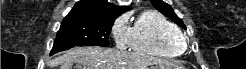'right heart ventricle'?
Masks as SVG:
<instances>
[{
  "instance_id": "right-heart-ventricle-1",
  "label": "right heart ventricle",
  "mask_w": 246,
  "mask_h": 69,
  "mask_svg": "<svg viewBox=\"0 0 246 69\" xmlns=\"http://www.w3.org/2000/svg\"><path fill=\"white\" fill-rule=\"evenodd\" d=\"M128 43L133 51L159 57L176 56L182 49L177 26L156 10L139 15L130 29Z\"/></svg>"
}]
</instances>
